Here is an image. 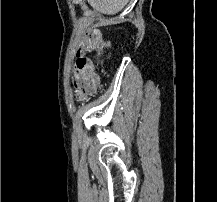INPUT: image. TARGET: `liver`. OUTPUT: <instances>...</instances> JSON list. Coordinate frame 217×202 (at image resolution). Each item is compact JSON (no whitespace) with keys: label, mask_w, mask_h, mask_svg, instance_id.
I'll list each match as a JSON object with an SVG mask.
<instances>
[{"label":"liver","mask_w":217,"mask_h":202,"mask_svg":"<svg viewBox=\"0 0 217 202\" xmlns=\"http://www.w3.org/2000/svg\"><path fill=\"white\" fill-rule=\"evenodd\" d=\"M93 10L101 14H117L127 6L129 0H87Z\"/></svg>","instance_id":"1"}]
</instances>
